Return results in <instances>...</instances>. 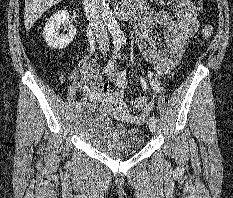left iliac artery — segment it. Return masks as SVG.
I'll list each match as a JSON object with an SVG mask.
<instances>
[{
  "instance_id": "left-iliac-artery-1",
  "label": "left iliac artery",
  "mask_w": 233,
  "mask_h": 198,
  "mask_svg": "<svg viewBox=\"0 0 233 198\" xmlns=\"http://www.w3.org/2000/svg\"><path fill=\"white\" fill-rule=\"evenodd\" d=\"M140 81H141V85H142L143 89L146 90L147 84H146L145 80L141 77ZM151 85L154 89L159 90V86L157 84H155L154 82H151ZM150 119L153 120L154 122H157V119L154 116H152Z\"/></svg>"
}]
</instances>
